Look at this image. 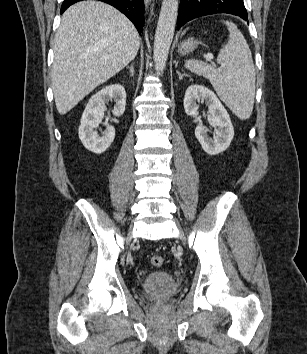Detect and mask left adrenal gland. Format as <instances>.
Returning a JSON list of instances; mask_svg holds the SVG:
<instances>
[{
	"instance_id": "left-adrenal-gland-1",
	"label": "left adrenal gland",
	"mask_w": 307,
	"mask_h": 354,
	"mask_svg": "<svg viewBox=\"0 0 307 354\" xmlns=\"http://www.w3.org/2000/svg\"><path fill=\"white\" fill-rule=\"evenodd\" d=\"M176 73H177L178 76H179V80H182L183 77H189L187 74H181L178 70L176 71Z\"/></svg>"
}]
</instances>
